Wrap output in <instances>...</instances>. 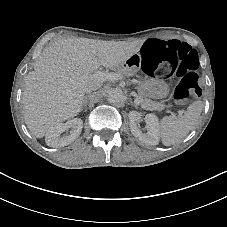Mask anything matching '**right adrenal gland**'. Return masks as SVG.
Instances as JSON below:
<instances>
[{
    "instance_id": "1",
    "label": "right adrenal gland",
    "mask_w": 227,
    "mask_h": 227,
    "mask_svg": "<svg viewBox=\"0 0 227 227\" xmlns=\"http://www.w3.org/2000/svg\"><path fill=\"white\" fill-rule=\"evenodd\" d=\"M83 108H84V111L86 112L87 111V97H85V99H84Z\"/></svg>"
}]
</instances>
